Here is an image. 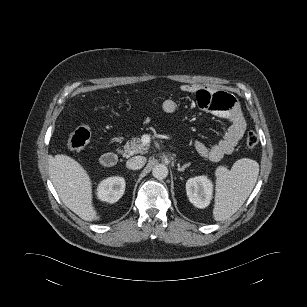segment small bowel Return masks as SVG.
Here are the masks:
<instances>
[{
	"label": "small bowel",
	"instance_id": "1",
	"mask_svg": "<svg viewBox=\"0 0 307 307\" xmlns=\"http://www.w3.org/2000/svg\"><path fill=\"white\" fill-rule=\"evenodd\" d=\"M181 91L186 94H194L201 108L210 110L217 117L229 122L225 135L213 145L206 146L196 141L194 144L196 151L210 161H218L224 155L232 153L246 129V122L237 107L236 99L226 92H210L196 84H183ZM162 109L165 113H174L177 110V103L173 99H166L162 103Z\"/></svg>",
	"mask_w": 307,
	"mask_h": 307
}]
</instances>
